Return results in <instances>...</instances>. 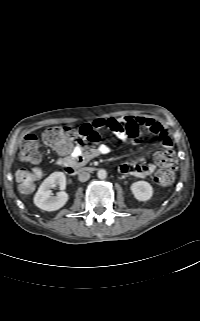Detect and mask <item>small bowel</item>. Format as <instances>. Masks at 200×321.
<instances>
[{
    "label": "small bowel",
    "mask_w": 200,
    "mask_h": 321,
    "mask_svg": "<svg viewBox=\"0 0 200 321\" xmlns=\"http://www.w3.org/2000/svg\"><path fill=\"white\" fill-rule=\"evenodd\" d=\"M88 130L106 129L112 132L120 140L135 144L139 140L140 128L149 130L152 134L159 137L165 150H159L155 153L156 157L164 151L172 150V139L164 127L149 117L125 116L120 118H99L82 126ZM111 148L107 144H100L96 148L88 149L85 146H74L65 151H60L59 164H65L67 167L83 165L91 159L100 155L110 153ZM121 173L136 177H146L155 170V165L146 158L141 157L135 162H125L120 165Z\"/></svg>",
    "instance_id": "small-bowel-1"
}]
</instances>
